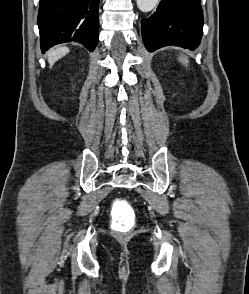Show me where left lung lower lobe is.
<instances>
[{"label":"left lung lower lobe","instance_id":"0a47b994","mask_svg":"<svg viewBox=\"0 0 249 294\" xmlns=\"http://www.w3.org/2000/svg\"><path fill=\"white\" fill-rule=\"evenodd\" d=\"M141 24L143 42L149 52L168 45L194 49L203 33L200 0H162L156 12L142 19Z\"/></svg>","mask_w":249,"mask_h":294}]
</instances>
